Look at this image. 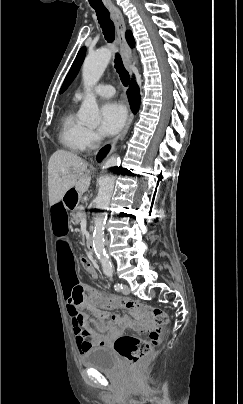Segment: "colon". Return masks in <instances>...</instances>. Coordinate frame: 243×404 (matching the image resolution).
<instances>
[{
	"label": "colon",
	"instance_id": "colon-1",
	"mask_svg": "<svg viewBox=\"0 0 243 404\" xmlns=\"http://www.w3.org/2000/svg\"><path fill=\"white\" fill-rule=\"evenodd\" d=\"M80 266L85 273L91 274L92 266L90 261L83 257L80 260ZM89 307L103 314L106 310L112 308H125L130 312L141 315L150 313L157 326L149 332L148 339H142L137 336H120L114 342L115 350L125 358L130 364H137L146 358L156 347L161 339V326L168 323V316L164 310L158 307H151L146 304L127 299L108 300L92 295Z\"/></svg>",
	"mask_w": 243,
	"mask_h": 404
}]
</instances>
